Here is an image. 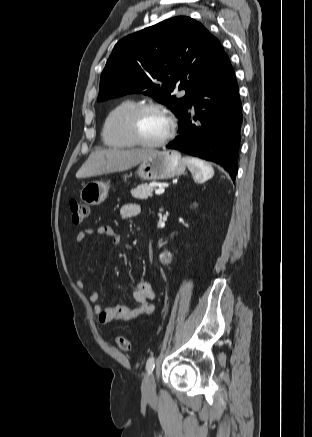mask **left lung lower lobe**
Wrapping results in <instances>:
<instances>
[{
    "instance_id": "left-lung-lower-lobe-1",
    "label": "left lung lower lobe",
    "mask_w": 312,
    "mask_h": 437,
    "mask_svg": "<svg viewBox=\"0 0 312 437\" xmlns=\"http://www.w3.org/2000/svg\"><path fill=\"white\" fill-rule=\"evenodd\" d=\"M194 105L192 117L188 109ZM180 134L167 147L216 162L235 180L242 104L233 67L226 54L197 90L179 118Z\"/></svg>"
}]
</instances>
